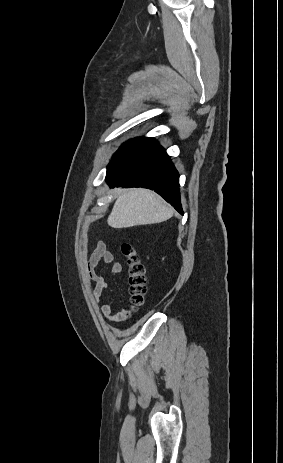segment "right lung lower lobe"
<instances>
[{
	"label": "right lung lower lobe",
	"mask_w": 283,
	"mask_h": 463,
	"mask_svg": "<svg viewBox=\"0 0 283 463\" xmlns=\"http://www.w3.org/2000/svg\"><path fill=\"white\" fill-rule=\"evenodd\" d=\"M106 179L111 187L152 189L183 214L179 175L165 150L152 138L124 143L108 165Z\"/></svg>",
	"instance_id": "right-lung-lower-lobe-1"
}]
</instances>
